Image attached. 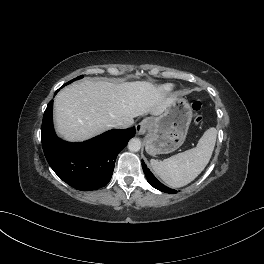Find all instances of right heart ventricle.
<instances>
[{
	"instance_id": "right-heart-ventricle-1",
	"label": "right heart ventricle",
	"mask_w": 264,
	"mask_h": 264,
	"mask_svg": "<svg viewBox=\"0 0 264 264\" xmlns=\"http://www.w3.org/2000/svg\"><path fill=\"white\" fill-rule=\"evenodd\" d=\"M161 89L164 90V91H169V90L172 89V86L169 85V84H166V85H163V86L161 87Z\"/></svg>"
}]
</instances>
